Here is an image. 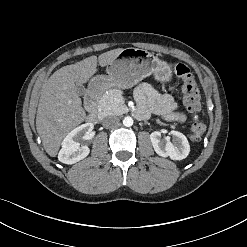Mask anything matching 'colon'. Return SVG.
<instances>
[{"mask_svg":"<svg viewBox=\"0 0 247 247\" xmlns=\"http://www.w3.org/2000/svg\"><path fill=\"white\" fill-rule=\"evenodd\" d=\"M171 66L175 74L182 81V92L186 108L195 115L190 132L191 140L199 142L205 133L206 126L197 116L201 110L200 93L197 83L190 69L185 64L172 63Z\"/></svg>","mask_w":247,"mask_h":247,"instance_id":"obj_1","label":"colon"}]
</instances>
